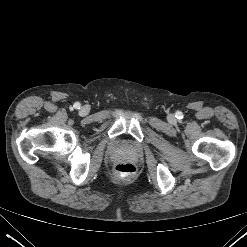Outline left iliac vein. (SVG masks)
<instances>
[{"label":"left iliac vein","instance_id":"1","mask_svg":"<svg viewBox=\"0 0 247 247\" xmlns=\"http://www.w3.org/2000/svg\"><path fill=\"white\" fill-rule=\"evenodd\" d=\"M169 118L172 120L174 118V116L173 115H170Z\"/></svg>","mask_w":247,"mask_h":247}]
</instances>
